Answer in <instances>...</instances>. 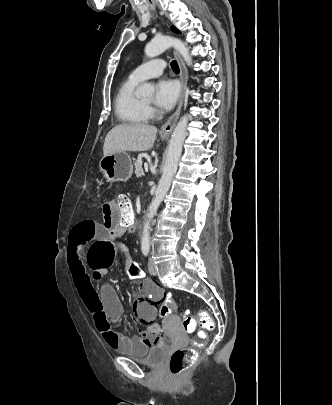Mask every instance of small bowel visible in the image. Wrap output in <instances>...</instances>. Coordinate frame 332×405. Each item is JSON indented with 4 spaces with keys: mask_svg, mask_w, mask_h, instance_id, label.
Instances as JSON below:
<instances>
[{
    "mask_svg": "<svg viewBox=\"0 0 332 405\" xmlns=\"http://www.w3.org/2000/svg\"><path fill=\"white\" fill-rule=\"evenodd\" d=\"M116 202L117 197L110 195L108 202L102 205V224L79 221L72 227L67 249L69 271L97 330L110 347L122 349V353H152L163 340L157 335L160 322L154 317L159 313V301L167 297V288H153L154 284L145 280L140 289H135L137 302L132 303V310L140 318L142 328L139 335L127 337L112 328V322H116L122 313L119 297L112 286L102 280L100 273L90 272L87 266L93 241L117 240L126 231V224L120 223L121 214L120 209L115 208Z\"/></svg>",
    "mask_w": 332,
    "mask_h": 405,
    "instance_id": "c3829d8e",
    "label": "small bowel"
}]
</instances>
